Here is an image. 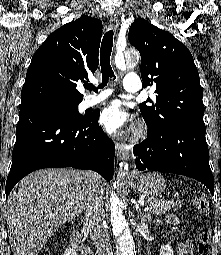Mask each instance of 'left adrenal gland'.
<instances>
[{
	"label": "left adrenal gland",
	"mask_w": 221,
	"mask_h": 255,
	"mask_svg": "<svg viewBox=\"0 0 221 255\" xmlns=\"http://www.w3.org/2000/svg\"><path fill=\"white\" fill-rule=\"evenodd\" d=\"M138 217H140L141 218V221H149L150 220V216L149 215H147V214H141V212L139 211L138 212Z\"/></svg>",
	"instance_id": "a2214340"
}]
</instances>
